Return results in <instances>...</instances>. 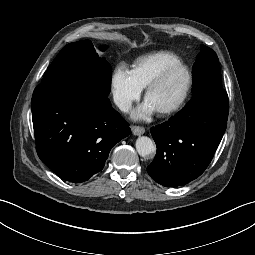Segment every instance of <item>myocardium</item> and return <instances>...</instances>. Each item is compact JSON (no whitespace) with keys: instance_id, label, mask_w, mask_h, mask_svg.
I'll list each match as a JSON object with an SVG mask.
<instances>
[{"instance_id":"myocardium-1","label":"myocardium","mask_w":255,"mask_h":255,"mask_svg":"<svg viewBox=\"0 0 255 255\" xmlns=\"http://www.w3.org/2000/svg\"><path fill=\"white\" fill-rule=\"evenodd\" d=\"M176 69H183L186 72L187 85H186L184 93L176 102H174L173 104H171L167 107L157 110V112L161 115H167V114L174 113V112L178 111L179 109H181L185 105V103L187 102V100L190 96V93L192 90V85H193V76H192L191 70L189 69V67L187 65H185L181 61L170 64V65L166 66L145 88L144 99L146 100L149 93L152 90H154L157 86H159L164 81V79L172 71H174Z\"/></svg>"}]
</instances>
